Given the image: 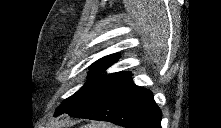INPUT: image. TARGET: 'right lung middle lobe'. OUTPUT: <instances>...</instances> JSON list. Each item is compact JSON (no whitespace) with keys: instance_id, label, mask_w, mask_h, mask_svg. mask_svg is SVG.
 <instances>
[{"instance_id":"right-lung-middle-lobe-1","label":"right lung middle lobe","mask_w":221,"mask_h":128,"mask_svg":"<svg viewBox=\"0 0 221 128\" xmlns=\"http://www.w3.org/2000/svg\"><path fill=\"white\" fill-rule=\"evenodd\" d=\"M89 75L90 77L84 86L58 107L55 116L100 99L129 78L103 75L96 71H90Z\"/></svg>"}]
</instances>
